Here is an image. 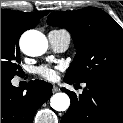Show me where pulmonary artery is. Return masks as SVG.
<instances>
[{"label": "pulmonary artery", "instance_id": "obj_1", "mask_svg": "<svg viewBox=\"0 0 123 123\" xmlns=\"http://www.w3.org/2000/svg\"><path fill=\"white\" fill-rule=\"evenodd\" d=\"M48 40L54 51L63 52L68 49L71 38L65 30H52L48 33Z\"/></svg>", "mask_w": 123, "mask_h": 123}]
</instances>
